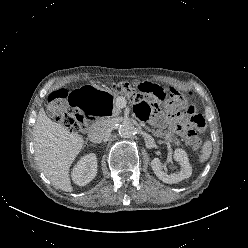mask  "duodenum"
Here are the masks:
<instances>
[{"mask_svg": "<svg viewBox=\"0 0 248 248\" xmlns=\"http://www.w3.org/2000/svg\"><path fill=\"white\" fill-rule=\"evenodd\" d=\"M97 117L89 112H86L83 116V120H82V124L84 128L89 127V125L91 124V122H93Z\"/></svg>", "mask_w": 248, "mask_h": 248, "instance_id": "1", "label": "duodenum"}]
</instances>
